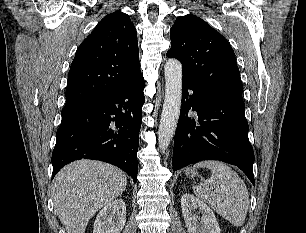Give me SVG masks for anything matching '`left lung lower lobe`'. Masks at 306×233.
Masks as SVG:
<instances>
[{
  "label": "left lung lower lobe",
  "instance_id": "0a47b994",
  "mask_svg": "<svg viewBox=\"0 0 306 233\" xmlns=\"http://www.w3.org/2000/svg\"><path fill=\"white\" fill-rule=\"evenodd\" d=\"M190 109L197 112L198 120L188 117ZM244 114L242 94L202 87L183 78L173 170L201 160H220L239 167L255 186L254 152Z\"/></svg>",
  "mask_w": 306,
  "mask_h": 233
}]
</instances>
